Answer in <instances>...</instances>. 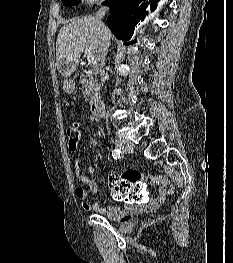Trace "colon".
Listing matches in <instances>:
<instances>
[{
	"instance_id": "obj_1",
	"label": "colon",
	"mask_w": 233,
	"mask_h": 263,
	"mask_svg": "<svg viewBox=\"0 0 233 263\" xmlns=\"http://www.w3.org/2000/svg\"><path fill=\"white\" fill-rule=\"evenodd\" d=\"M68 146L71 151L77 149L84 136V129L80 123L74 122L67 128ZM119 175H109L110 186L116 196L130 201L132 204H139L142 199L149 200L151 190H146V182L141 178L144 171L137 169H117ZM118 200L117 198L115 199ZM136 201V202H135Z\"/></svg>"
}]
</instances>
